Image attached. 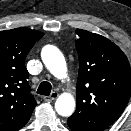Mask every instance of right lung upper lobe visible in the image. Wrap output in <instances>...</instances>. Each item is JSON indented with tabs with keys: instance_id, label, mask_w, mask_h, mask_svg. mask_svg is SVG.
Here are the masks:
<instances>
[{
	"instance_id": "right-lung-upper-lobe-1",
	"label": "right lung upper lobe",
	"mask_w": 131,
	"mask_h": 131,
	"mask_svg": "<svg viewBox=\"0 0 131 131\" xmlns=\"http://www.w3.org/2000/svg\"><path fill=\"white\" fill-rule=\"evenodd\" d=\"M43 35L25 27L0 31V131L22 128L36 106L24 63Z\"/></svg>"
}]
</instances>
